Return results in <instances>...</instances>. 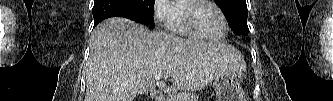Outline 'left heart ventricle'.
Returning a JSON list of instances; mask_svg holds the SVG:
<instances>
[{"label":"left heart ventricle","mask_w":333,"mask_h":101,"mask_svg":"<svg viewBox=\"0 0 333 101\" xmlns=\"http://www.w3.org/2000/svg\"><path fill=\"white\" fill-rule=\"evenodd\" d=\"M195 20L204 35L216 37L223 31V21L219 13L210 5H200L195 11Z\"/></svg>","instance_id":"obj_1"}]
</instances>
